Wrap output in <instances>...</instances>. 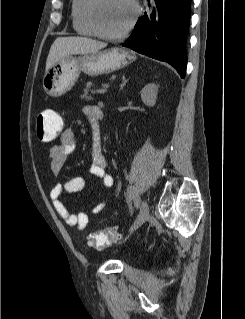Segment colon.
I'll use <instances>...</instances> for the list:
<instances>
[{"label": "colon", "instance_id": "colon-1", "mask_svg": "<svg viewBox=\"0 0 245 319\" xmlns=\"http://www.w3.org/2000/svg\"><path fill=\"white\" fill-rule=\"evenodd\" d=\"M37 136L42 142H53L58 139L63 131V120L55 111H44L36 120ZM121 238L115 228L93 231L87 236L90 246L104 249L112 246Z\"/></svg>", "mask_w": 245, "mask_h": 319}]
</instances>
